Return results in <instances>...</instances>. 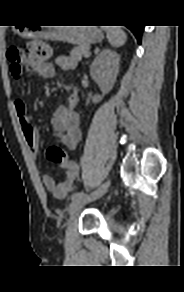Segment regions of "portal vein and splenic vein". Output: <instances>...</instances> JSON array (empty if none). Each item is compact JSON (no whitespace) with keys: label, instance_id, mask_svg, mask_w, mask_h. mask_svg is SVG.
<instances>
[{"label":"portal vein and splenic vein","instance_id":"18ae733b","mask_svg":"<svg viewBox=\"0 0 184 292\" xmlns=\"http://www.w3.org/2000/svg\"><path fill=\"white\" fill-rule=\"evenodd\" d=\"M90 54H91V52H88L87 56L90 55Z\"/></svg>","mask_w":184,"mask_h":292}]
</instances>
